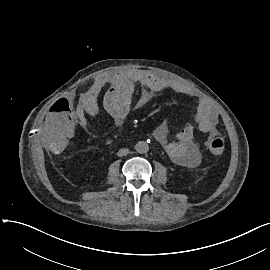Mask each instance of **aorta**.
Returning <instances> with one entry per match:
<instances>
[{
    "label": "aorta",
    "mask_w": 270,
    "mask_h": 270,
    "mask_svg": "<svg viewBox=\"0 0 270 270\" xmlns=\"http://www.w3.org/2000/svg\"><path fill=\"white\" fill-rule=\"evenodd\" d=\"M135 150L140 154L146 153L149 151V145L145 141H139L135 145Z\"/></svg>",
    "instance_id": "obj_1"
}]
</instances>
